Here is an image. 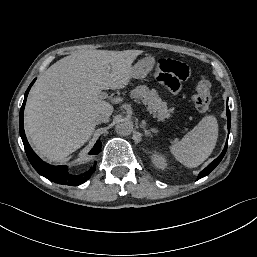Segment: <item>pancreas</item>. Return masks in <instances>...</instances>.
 I'll return each instance as SVG.
<instances>
[{
  "mask_svg": "<svg viewBox=\"0 0 257 257\" xmlns=\"http://www.w3.org/2000/svg\"><path fill=\"white\" fill-rule=\"evenodd\" d=\"M131 97L134 100H141L146 105L147 110L159 120H164L170 116L171 110H168L166 103L162 101L155 89L150 90L144 85L137 86L131 91Z\"/></svg>",
  "mask_w": 257,
  "mask_h": 257,
  "instance_id": "pancreas-1",
  "label": "pancreas"
}]
</instances>
